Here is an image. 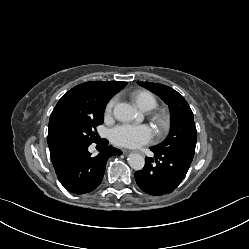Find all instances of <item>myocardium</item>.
Segmentation results:
<instances>
[{
  "label": "myocardium",
  "instance_id": "f54148a6",
  "mask_svg": "<svg viewBox=\"0 0 249 249\" xmlns=\"http://www.w3.org/2000/svg\"><path fill=\"white\" fill-rule=\"evenodd\" d=\"M152 120L156 126V129L160 133L166 132L171 124V117L168 113L164 111L155 112L152 115Z\"/></svg>",
  "mask_w": 249,
  "mask_h": 249
}]
</instances>
